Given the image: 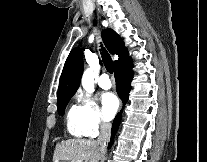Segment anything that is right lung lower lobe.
<instances>
[{"label":"right lung lower lobe","mask_w":207,"mask_h":162,"mask_svg":"<svg viewBox=\"0 0 207 162\" xmlns=\"http://www.w3.org/2000/svg\"><path fill=\"white\" fill-rule=\"evenodd\" d=\"M131 69H132V61L129 60L128 62L122 64L121 66H119L118 68L114 70L117 92H118L119 97L124 103L127 102L128 94L131 89L130 83H131V79L133 76V72ZM121 116H122V113L119 112L113 121L111 141H110L108 148H110L111 144L113 143V138L117 132L119 122L121 120Z\"/></svg>","instance_id":"1"}]
</instances>
